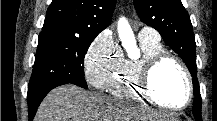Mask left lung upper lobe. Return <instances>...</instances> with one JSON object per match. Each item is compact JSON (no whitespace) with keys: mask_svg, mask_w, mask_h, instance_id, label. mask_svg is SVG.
<instances>
[{"mask_svg":"<svg viewBox=\"0 0 217 121\" xmlns=\"http://www.w3.org/2000/svg\"><path fill=\"white\" fill-rule=\"evenodd\" d=\"M136 12L145 24L156 29L165 43L185 62L192 75L193 115L202 121L201 95L197 80L196 44L189 15L180 0H133Z\"/></svg>","mask_w":217,"mask_h":121,"instance_id":"1","label":"left lung upper lobe"}]
</instances>
